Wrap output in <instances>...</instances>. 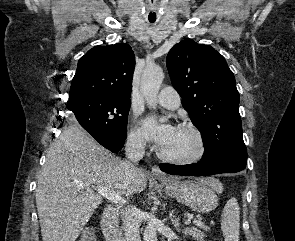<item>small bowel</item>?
Segmentation results:
<instances>
[{
    "label": "small bowel",
    "instance_id": "small-bowel-1",
    "mask_svg": "<svg viewBox=\"0 0 295 241\" xmlns=\"http://www.w3.org/2000/svg\"><path fill=\"white\" fill-rule=\"evenodd\" d=\"M188 233H189L192 237H194L197 241H201L202 236H201V234H200L199 232H197V231H195V230H190V231H188Z\"/></svg>",
    "mask_w": 295,
    "mask_h": 241
}]
</instances>
